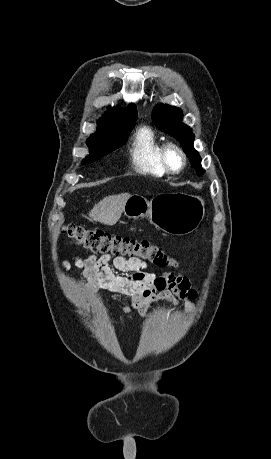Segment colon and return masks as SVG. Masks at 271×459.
<instances>
[{
    "label": "colon",
    "instance_id": "obj_1",
    "mask_svg": "<svg viewBox=\"0 0 271 459\" xmlns=\"http://www.w3.org/2000/svg\"><path fill=\"white\" fill-rule=\"evenodd\" d=\"M63 234L74 244L93 252L116 256H129L149 261L159 267H176V261L160 246L149 241H138L128 237L112 235L101 229L85 228L69 224Z\"/></svg>",
    "mask_w": 271,
    "mask_h": 459
}]
</instances>
